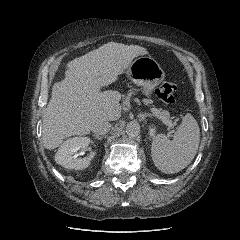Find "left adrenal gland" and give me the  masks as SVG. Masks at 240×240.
I'll use <instances>...</instances> for the list:
<instances>
[{"label": "left adrenal gland", "instance_id": "1", "mask_svg": "<svg viewBox=\"0 0 240 240\" xmlns=\"http://www.w3.org/2000/svg\"><path fill=\"white\" fill-rule=\"evenodd\" d=\"M152 115L151 114H148V113H140L139 114V118L144 121L147 117H151Z\"/></svg>", "mask_w": 240, "mask_h": 240}]
</instances>
